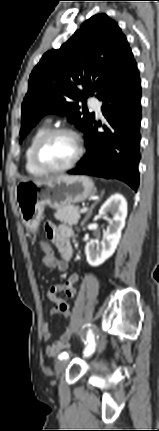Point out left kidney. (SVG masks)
I'll return each instance as SVG.
<instances>
[{"label": "left kidney", "mask_w": 159, "mask_h": 431, "mask_svg": "<svg viewBox=\"0 0 159 431\" xmlns=\"http://www.w3.org/2000/svg\"><path fill=\"white\" fill-rule=\"evenodd\" d=\"M111 213L112 218L108 217ZM99 215L109 222L101 242H88L85 254L89 265L96 267L104 263L115 252L125 226L127 202L121 194L112 195L100 208Z\"/></svg>", "instance_id": "obj_1"}]
</instances>
